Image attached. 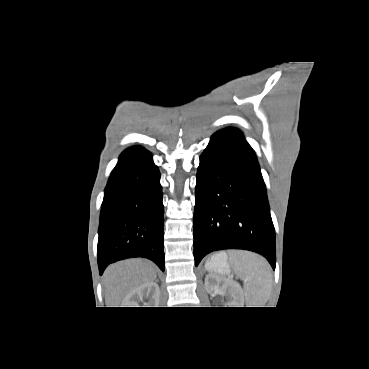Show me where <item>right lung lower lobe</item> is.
<instances>
[{
	"mask_svg": "<svg viewBox=\"0 0 369 369\" xmlns=\"http://www.w3.org/2000/svg\"><path fill=\"white\" fill-rule=\"evenodd\" d=\"M160 172L141 146L119 157L107 186L100 214V274L115 261L145 257L164 271V206Z\"/></svg>",
	"mask_w": 369,
	"mask_h": 369,
	"instance_id": "obj_1",
	"label": "right lung lower lobe"
}]
</instances>
